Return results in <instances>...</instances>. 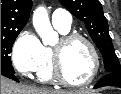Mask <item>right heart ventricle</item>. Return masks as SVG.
Wrapping results in <instances>:
<instances>
[{
  "label": "right heart ventricle",
  "mask_w": 121,
  "mask_h": 94,
  "mask_svg": "<svg viewBox=\"0 0 121 94\" xmlns=\"http://www.w3.org/2000/svg\"><path fill=\"white\" fill-rule=\"evenodd\" d=\"M55 28L62 34H68L70 28ZM37 77L42 82H52L54 81L53 73H52V49L50 47L43 46V60L40 67L37 70Z\"/></svg>",
  "instance_id": "1"
}]
</instances>
